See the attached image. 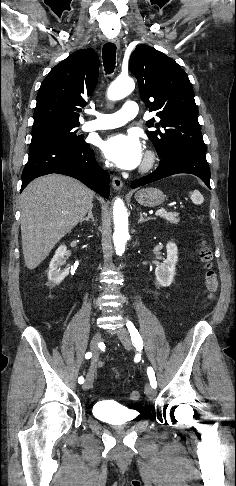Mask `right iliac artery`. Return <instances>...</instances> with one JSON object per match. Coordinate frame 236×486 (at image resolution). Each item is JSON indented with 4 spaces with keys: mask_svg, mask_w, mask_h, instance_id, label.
I'll return each instance as SVG.
<instances>
[{
    "mask_svg": "<svg viewBox=\"0 0 236 486\" xmlns=\"http://www.w3.org/2000/svg\"><path fill=\"white\" fill-rule=\"evenodd\" d=\"M91 357H92V353L91 352H87L85 354V358L86 359H90ZM78 382H79V384H83L84 383V378L82 376L79 377Z\"/></svg>",
    "mask_w": 236,
    "mask_h": 486,
    "instance_id": "obj_1",
    "label": "right iliac artery"
}]
</instances>
